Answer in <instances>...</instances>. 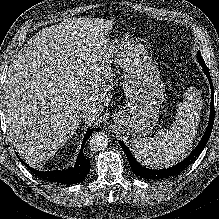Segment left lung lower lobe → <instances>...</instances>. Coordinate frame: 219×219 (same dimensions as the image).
Returning <instances> with one entry per match:
<instances>
[{
	"instance_id": "obj_1",
	"label": "left lung lower lobe",
	"mask_w": 219,
	"mask_h": 219,
	"mask_svg": "<svg viewBox=\"0 0 219 219\" xmlns=\"http://www.w3.org/2000/svg\"><path fill=\"white\" fill-rule=\"evenodd\" d=\"M198 61L201 65V67L203 68V71L206 74L208 81L210 83V87H211L210 118H209V123H208V127H207L205 134L203 135V137H202L201 141L199 142V144L197 145V147L191 152V154L186 159H184L182 162H180L179 164H177L171 168L161 169V170H151V169H148V168L141 166L133 158V156L130 153V150L127 148V146L120 141V145H121L122 149L124 150V152L127 156V159L129 161V164L131 166V169L135 175H137L141 178H144V179H149V180L167 179L169 177H173V176L181 173L189 165H191L192 162L202 152L205 145L207 144L209 137L211 135V132H212V127H213V122H214V112H215L214 111V91H213V84H212V80L210 77V73L208 71V68H207L204 60L198 59Z\"/></svg>"
}]
</instances>
